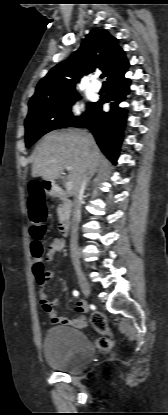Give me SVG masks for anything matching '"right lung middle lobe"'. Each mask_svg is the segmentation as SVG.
Listing matches in <instances>:
<instances>
[{"label":"right lung middle lobe","mask_w":168,"mask_h":415,"mask_svg":"<svg viewBox=\"0 0 168 415\" xmlns=\"http://www.w3.org/2000/svg\"><path fill=\"white\" fill-rule=\"evenodd\" d=\"M78 99L77 93L67 97L37 106L29 110L25 120L26 147L29 148L35 141L49 131L70 127L83 117H74L71 106ZM94 103H90V109Z\"/></svg>","instance_id":"1"}]
</instances>
